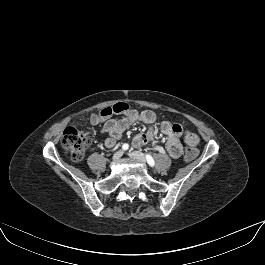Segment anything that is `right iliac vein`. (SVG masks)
I'll use <instances>...</instances> for the list:
<instances>
[{
	"label": "right iliac vein",
	"instance_id": "obj_1",
	"mask_svg": "<svg viewBox=\"0 0 265 265\" xmlns=\"http://www.w3.org/2000/svg\"><path fill=\"white\" fill-rule=\"evenodd\" d=\"M122 155H123V152L122 151H117V152L114 153L112 159L114 161H117V160H119L122 157Z\"/></svg>",
	"mask_w": 265,
	"mask_h": 265
}]
</instances>
